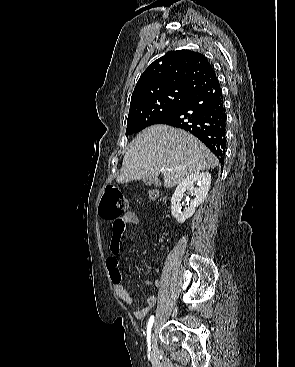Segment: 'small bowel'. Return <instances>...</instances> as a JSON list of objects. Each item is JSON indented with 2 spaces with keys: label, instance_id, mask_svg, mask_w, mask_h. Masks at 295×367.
I'll return each instance as SVG.
<instances>
[{
  "label": "small bowel",
  "instance_id": "c3829d8e",
  "mask_svg": "<svg viewBox=\"0 0 295 367\" xmlns=\"http://www.w3.org/2000/svg\"><path fill=\"white\" fill-rule=\"evenodd\" d=\"M139 222V218L134 212H126L119 221L112 223L111 241H110V256L106 259V267L109 271L114 289L118 298L126 305L135 306L136 301L127 291L124 286L122 274L118 267L117 255L120 252L121 242L124 232L127 227L135 226ZM146 285L159 286V280H147ZM156 303V296H149L140 309L134 312V316L138 319L145 317L148 312L154 307Z\"/></svg>",
  "mask_w": 295,
  "mask_h": 367
}]
</instances>
